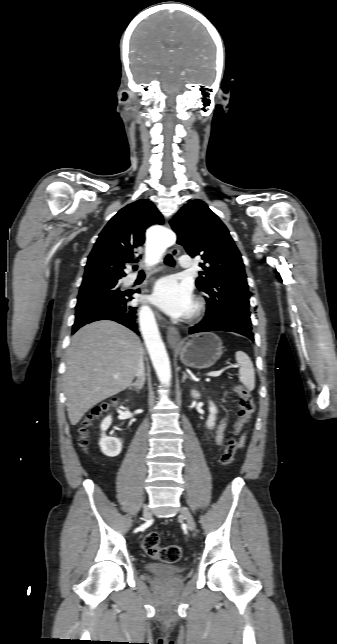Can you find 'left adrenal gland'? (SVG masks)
Returning <instances> with one entry per match:
<instances>
[{
  "label": "left adrenal gland",
  "instance_id": "left-adrenal-gland-1",
  "mask_svg": "<svg viewBox=\"0 0 337 644\" xmlns=\"http://www.w3.org/2000/svg\"><path fill=\"white\" fill-rule=\"evenodd\" d=\"M187 378L192 380V378L186 372H183L182 382H185Z\"/></svg>",
  "mask_w": 337,
  "mask_h": 644
}]
</instances>
